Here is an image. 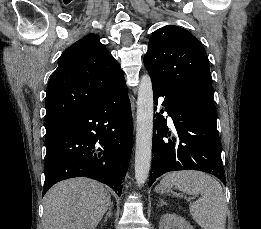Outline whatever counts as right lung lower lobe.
<instances>
[{
    "mask_svg": "<svg viewBox=\"0 0 261 229\" xmlns=\"http://www.w3.org/2000/svg\"><path fill=\"white\" fill-rule=\"evenodd\" d=\"M43 195L55 183L88 177L119 196L132 149V115L125 82L46 134Z\"/></svg>",
    "mask_w": 261,
    "mask_h": 229,
    "instance_id": "1",
    "label": "right lung lower lobe"
}]
</instances>
